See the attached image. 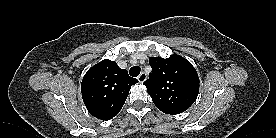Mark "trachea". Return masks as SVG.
I'll use <instances>...</instances> for the list:
<instances>
[{
  "mask_svg": "<svg viewBox=\"0 0 276 138\" xmlns=\"http://www.w3.org/2000/svg\"><path fill=\"white\" fill-rule=\"evenodd\" d=\"M140 67L139 66H133L130 68L129 73L132 77H137L140 74Z\"/></svg>",
  "mask_w": 276,
  "mask_h": 138,
  "instance_id": "trachea-1",
  "label": "trachea"
}]
</instances>
